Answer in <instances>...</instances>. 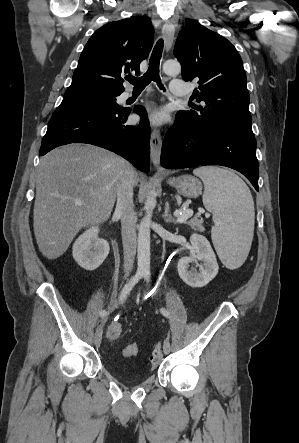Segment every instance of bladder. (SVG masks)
Instances as JSON below:
<instances>
[{"label": "bladder", "mask_w": 299, "mask_h": 443, "mask_svg": "<svg viewBox=\"0 0 299 443\" xmlns=\"http://www.w3.org/2000/svg\"><path fill=\"white\" fill-rule=\"evenodd\" d=\"M115 375L119 380L127 385H136L144 382L149 378V373L146 371H141L138 369L124 370L119 369L114 370Z\"/></svg>", "instance_id": "31cf9c89"}]
</instances>
